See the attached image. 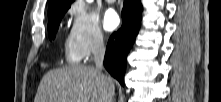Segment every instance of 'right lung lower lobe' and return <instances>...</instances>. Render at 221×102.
<instances>
[{"mask_svg": "<svg viewBox=\"0 0 221 102\" xmlns=\"http://www.w3.org/2000/svg\"><path fill=\"white\" fill-rule=\"evenodd\" d=\"M140 0H125L122 9V27L114 32L107 44L104 65L109 73L124 85L126 57L141 25Z\"/></svg>", "mask_w": 221, "mask_h": 102, "instance_id": "right-lung-lower-lobe-1", "label": "right lung lower lobe"}]
</instances>
